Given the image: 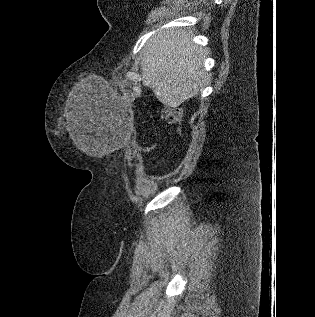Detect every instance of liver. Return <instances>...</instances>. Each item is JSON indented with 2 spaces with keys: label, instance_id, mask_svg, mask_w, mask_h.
Segmentation results:
<instances>
[{
  "label": "liver",
  "instance_id": "6515ba94",
  "mask_svg": "<svg viewBox=\"0 0 315 317\" xmlns=\"http://www.w3.org/2000/svg\"><path fill=\"white\" fill-rule=\"evenodd\" d=\"M190 29H166L157 32L146 44L141 57L142 83L152 89L167 107L177 108L197 95L205 81L203 62L208 53L194 44ZM68 132L74 144L89 152L83 138L79 109L72 105L67 116Z\"/></svg>",
  "mask_w": 315,
  "mask_h": 317
}]
</instances>
